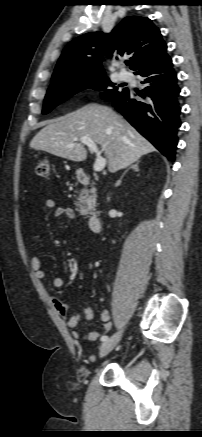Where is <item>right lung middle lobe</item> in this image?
<instances>
[{
	"mask_svg": "<svg viewBox=\"0 0 202 437\" xmlns=\"http://www.w3.org/2000/svg\"><path fill=\"white\" fill-rule=\"evenodd\" d=\"M88 88L104 91L101 93V97L106 100L122 92L115 87V84L105 74L76 77L52 83L45 97L43 114L49 113L57 105L63 103L74 94Z\"/></svg>",
	"mask_w": 202,
	"mask_h": 437,
	"instance_id": "right-lung-middle-lobe-1",
	"label": "right lung middle lobe"
}]
</instances>
